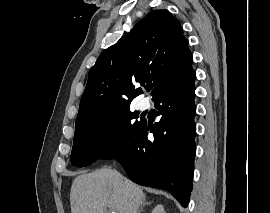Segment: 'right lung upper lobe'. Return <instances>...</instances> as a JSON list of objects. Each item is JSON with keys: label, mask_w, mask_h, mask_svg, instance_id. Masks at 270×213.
Listing matches in <instances>:
<instances>
[{"label": "right lung upper lobe", "mask_w": 270, "mask_h": 213, "mask_svg": "<svg viewBox=\"0 0 270 213\" xmlns=\"http://www.w3.org/2000/svg\"><path fill=\"white\" fill-rule=\"evenodd\" d=\"M192 54L180 22L167 10H153L115 45L105 49L88 74L76 123L130 105L153 82V98L190 69ZM152 98V99H153Z\"/></svg>", "instance_id": "right-lung-upper-lobe-1"}]
</instances>
